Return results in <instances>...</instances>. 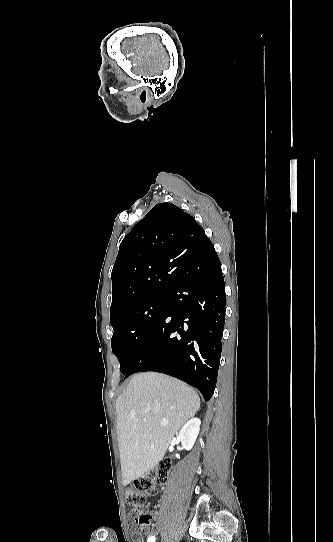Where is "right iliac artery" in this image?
Segmentation results:
<instances>
[{"instance_id":"obj_1","label":"right iliac artery","mask_w":333,"mask_h":542,"mask_svg":"<svg viewBox=\"0 0 333 542\" xmlns=\"http://www.w3.org/2000/svg\"><path fill=\"white\" fill-rule=\"evenodd\" d=\"M147 542H155V537H153V536L149 537V539L147 540Z\"/></svg>"}]
</instances>
